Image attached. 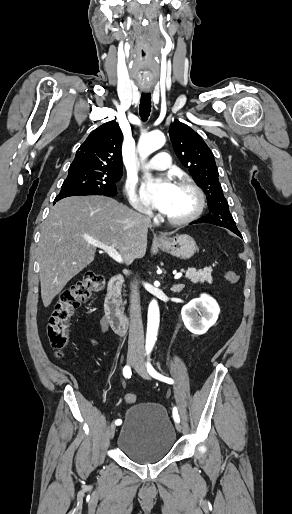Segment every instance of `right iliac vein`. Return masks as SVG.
I'll use <instances>...</instances> for the list:
<instances>
[{
  "label": "right iliac vein",
  "instance_id": "63e3f726",
  "mask_svg": "<svg viewBox=\"0 0 292 514\" xmlns=\"http://www.w3.org/2000/svg\"><path fill=\"white\" fill-rule=\"evenodd\" d=\"M138 360L139 359L136 356L130 355L127 358V364L130 366H135L137 364ZM109 430H110V432H109L110 438H113L114 433H115V424L114 423L111 424Z\"/></svg>",
  "mask_w": 292,
  "mask_h": 514
}]
</instances>
